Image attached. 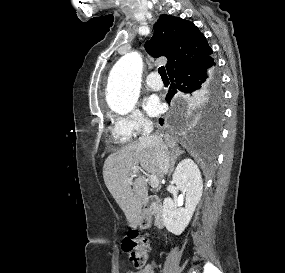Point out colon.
I'll list each match as a JSON object with an SVG mask.
<instances>
[{
  "label": "colon",
  "mask_w": 285,
  "mask_h": 273,
  "mask_svg": "<svg viewBox=\"0 0 285 273\" xmlns=\"http://www.w3.org/2000/svg\"><path fill=\"white\" fill-rule=\"evenodd\" d=\"M123 250L129 255L130 261L136 270L142 269L149 257V245L147 240L140 238L138 233L126 237L122 241ZM129 273H134L133 271ZM143 273H150L148 270Z\"/></svg>",
  "instance_id": "1"
}]
</instances>
